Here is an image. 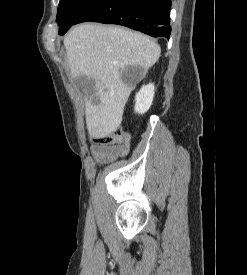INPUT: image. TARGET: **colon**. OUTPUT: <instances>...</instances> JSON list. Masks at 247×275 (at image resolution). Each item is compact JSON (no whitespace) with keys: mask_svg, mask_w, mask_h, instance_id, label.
Segmentation results:
<instances>
[{"mask_svg":"<svg viewBox=\"0 0 247 275\" xmlns=\"http://www.w3.org/2000/svg\"><path fill=\"white\" fill-rule=\"evenodd\" d=\"M93 142L99 145H113V144L127 145L129 142V137L124 131L117 129L108 135H103V136L94 138Z\"/></svg>","mask_w":247,"mask_h":275,"instance_id":"1","label":"colon"}]
</instances>
